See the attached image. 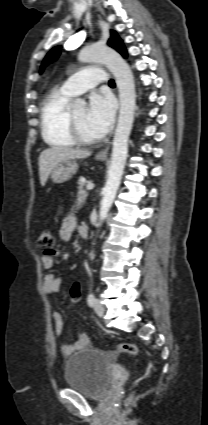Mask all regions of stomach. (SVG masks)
Returning a JSON list of instances; mask_svg holds the SVG:
<instances>
[{
  "instance_id": "obj_1",
  "label": "stomach",
  "mask_w": 208,
  "mask_h": 425,
  "mask_svg": "<svg viewBox=\"0 0 208 425\" xmlns=\"http://www.w3.org/2000/svg\"><path fill=\"white\" fill-rule=\"evenodd\" d=\"M77 170L78 164L75 161L69 160L60 162L52 170L51 179L56 184L65 183L75 175Z\"/></svg>"
}]
</instances>
